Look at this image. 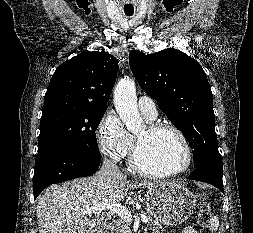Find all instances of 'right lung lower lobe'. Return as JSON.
Segmentation results:
<instances>
[{"label":"right lung lower lobe","mask_w":253,"mask_h":233,"mask_svg":"<svg viewBox=\"0 0 253 233\" xmlns=\"http://www.w3.org/2000/svg\"><path fill=\"white\" fill-rule=\"evenodd\" d=\"M100 162L101 156L67 148L50 147L38 152L33 178L34 199L51 184L94 174Z\"/></svg>","instance_id":"98d812e1"}]
</instances>
